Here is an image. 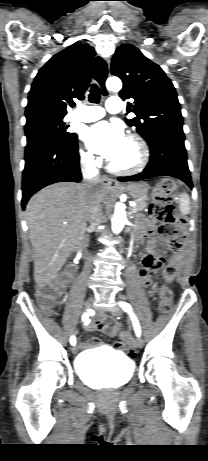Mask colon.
<instances>
[{
  "label": "colon",
  "instance_id": "5ec220e1",
  "mask_svg": "<svg viewBox=\"0 0 208 461\" xmlns=\"http://www.w3.org/2000/svg\"><path fill=\"white\" fill-rule=\"evenodd\" d=\"M175 181L171 178L163 179L153 190L152 199L153 202L150 205V214L157 221L166 224L173 225L184 224V219L178 215L176 207L174 206L171 196L175 190ZM183 246V242H179L177 246H172L174 250H180ZM157 264L161 267L164 264L163 258L157 260ZM175 273V264L169 263L164 270V278L166 281H170ZM65 285L60 279L50 282L46 285L37 288L36 297L42 306L51 310L56 304L60 297L61 291ZM159 307L163 313L170 311L173 304V292L167 286H162L159 290ZM123 339V338H122ZM124 340V339H123ZM122 348L126 350L129 357L135 360L138 357L137 349L130 347L128 343H123Z\"/></svg>",
  "mask_w": 208,
  "mask_h": 461
}]
</instances>
